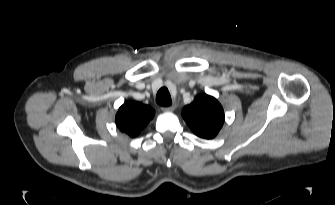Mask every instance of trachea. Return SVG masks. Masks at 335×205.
I'll list each match as a JSON object with an SVG mask.
<instances>
[{
    "label": "trachea",
    "instance_id": "obj_1",
    "mask_svg": "<svg viewBox=\"0 0 335 205\" xmlns=\"http://www.w3.org/2000/svg\"><path fill=\"white\" fill-rule=\"evenodd\" d=\"M156 102L164 107H168L172 104V99L167 88L163 87L159 89L156 95Z\"/></svg>",
    "mask_w": 335,
    "mask_h": 205
}]
</instances>
